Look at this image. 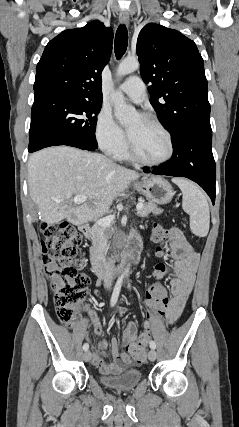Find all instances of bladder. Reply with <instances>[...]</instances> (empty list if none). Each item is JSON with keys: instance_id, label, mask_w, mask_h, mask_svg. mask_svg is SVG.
Returning <instances> with one entry per match:
<instances>
[{"instance_id": "1", "label": "bladder", "mask_w": 239, "mask_h": 427, "mask_svg": "<svg viewBox=\"0 0 239 427\" xmlns=\"http://www.w3.org/2000/svg\"><path fill=\"white\" fill-rule=\"evenodd\" d=\"M142 379V373L138 369H129L116 375H102L101 383L114 390H129L139 384Z\"/></svg>"}]
</instances>
